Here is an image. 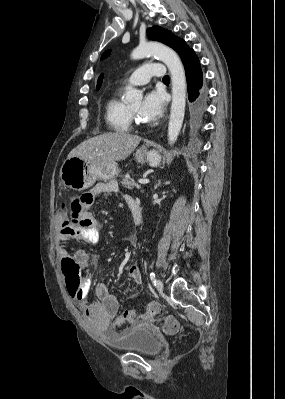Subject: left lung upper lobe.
<instances>
[{
    "instance_id": "5c2ea615",
    "label": "left lung upper lobe",
    "mask_w": 285,
    "mask_h": 399,
    "mask_svg": "<svg viewBox=\"0 0 285 399\" xmlns=\"http://www.w3.org/2000/svg\"><path fill=\"white\" fill-rule=\"evenodd\" d=\"M147 36L151 40L162 42L168 45L169 47L174 49L180 56L184 51L189 49L183 39L176 37L170 31L163 29L159 26H153L148 28ZM109 52L110 51H105L101 56V60L106 58L109 55Z\"/></svg>"
}]
</instances>
